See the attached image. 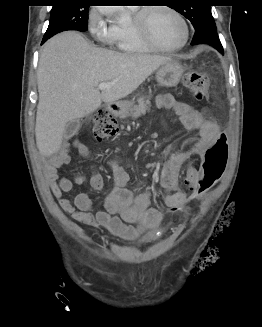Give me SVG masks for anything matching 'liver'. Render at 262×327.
Segmentation results:
<instances>
[{
    "instance_id": "liver-1",
    "label": "liver",
    "mask_w": 262,
    "mask_h": 327,
    "mask_svg": "<svg viewBox=\"0 0 262 327\" xmlns=\"http://www.w3.org/2000/svg\"><path fill=\"white\" fill-rule=\"evenodd\" d=\"M170 57L126 54L90 45L79 33L51 38L37 70L39 103L35 137L41 155L59 151L66 124L88 116L101 103H114L135 91ZM100 83H113L105 90Z\"/></svg>"
}]
</instances>
